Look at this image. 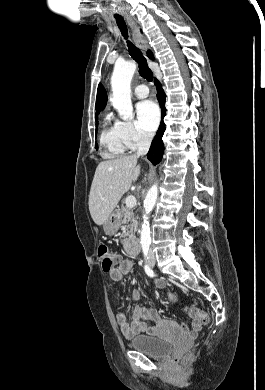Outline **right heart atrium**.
Wrapping results in <instances>:
<instances>
[{"label":"right heart atrium","mask_w":265,"mask_h":390,"mask_svg":"<svg viewBox=\"0 0 265 390\" xmlns=\"http://www.w3.org/2000/svg\"><path fill=\"white\" fill-rule=\"evenodd\" d=\"M119 126L123 140L129 149H136L143 146L151 139L149 134L140 130L132 122H119Z\"/></svg>","instance_id":"right-heart-atrium-1"}]
</instances>
